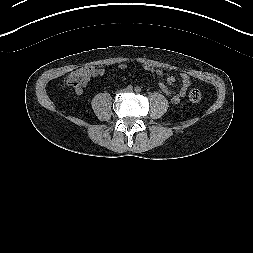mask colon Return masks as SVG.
Returning a JSON list of instances; mask_svg holds the SVG:
<instances>
[{
  "mask_svg": "<svg viewBox=\"0 0 253 253\" xmlns=\"http://www.w3.org/2000/svg\"><path fill=\"white\" fill-rule=\"evenodd\" d=\"M93 70L91 68H81L74 73L67 80V85L73 88L75 91L83 89L87 81L91 78ZM202 93L198 88H193L189 92V99L192 102H199L201 100Z\"/></svg>",
  "mask_w": 253,
  "mask_h": 253,
  "instance_id": "obj_1",
  "label": "colon"
}]
</instances>
